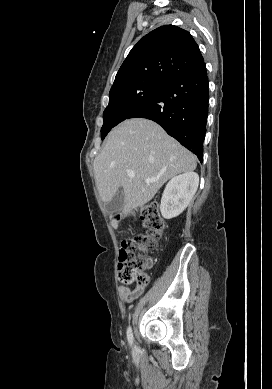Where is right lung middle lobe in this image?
Returning a JSON list of instances; mask_svg holds the SVG:
<instances>
[{
  "instance_id": "dd1d6c3e",
  "label": "right lung middle lobe",
  "mask_w": 272,
  "mask_h": 389,
  "mask_svg": "<svg viewBox=\"0 0 272 389\" xmlns=\"http://www.w3.org/2000/svg\"><path fill=\"white\" fill-rule=\"evenodd\" d=\"M165 85L160 81L142 80L111 89L109 104L103 113L102 140L114 126L127 119L131 112Z\"/></svg>"
}]
</instances>
